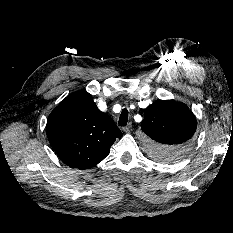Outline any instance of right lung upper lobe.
I'll return each instance as SVG.
<instances>
[{
	"label": "right lung upper lobe",
	"mask_w": 233,
	"mask_h": 233,
	"mask_svg": "<svg viewBox=\"0 0 233 233\" xmlns=\"http://www.w3.org/2000/svg\"><path fill=\"white\" fill-rule=\"evenodd\" d=\"M47 136L66 165L83 170L101 162L122 134L97 108L92 96L80 90L67 96L49 115Z\"/></svg>",
	"instance_id": "1"
}]
</instances>
